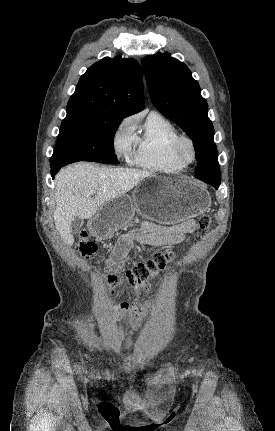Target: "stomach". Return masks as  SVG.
Wrapping results in <instances>:
<instances>
[{
	"instance_id": "obj_1",
	"label": "stomach",
	"mask_w": 275,
	"mask_h": 431,
	"mask_svg": "<svg viewBox=\"0 0 275 431\" xmlns=\"http://www.w3.org/2000/svg\"><path fill=\"white\" fill-rule=\"evenodd\" d=\"M150 187L137 186L132 196L123 195L102 205L89 223L99 239L110 237L137 211L147 219L174 225L207 212L210 195L184 177L151 176Z\"/></svg>"
}]
</instances>
